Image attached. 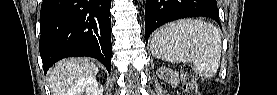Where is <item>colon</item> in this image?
Listing matches in <instances>:
<instances>
[{
	"instance_id": "5ec220e1",
	"label": "colon",
	"mask_w": 277,
	"mask_h": 95,
	"mask_svg": "<svg viewBox=\"0 0 277 95\" xmlns=\"http://www.w3.org/2000/svg\"><path fill=\"white\" fill-rule=\"evenodd\" d=\"M183 94H198L196 84V72L191 65H184L181 69Z\"/></svg>"
}]
</instances>
